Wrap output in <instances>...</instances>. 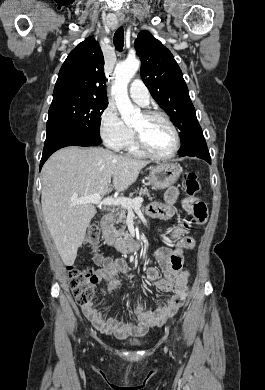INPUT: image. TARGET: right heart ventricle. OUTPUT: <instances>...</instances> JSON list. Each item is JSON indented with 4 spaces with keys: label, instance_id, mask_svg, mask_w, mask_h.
I'll use <instances>...</instances> for the list:
<instances>
[{
    "label": "right heart ventricle",
    "instance_id": "right-heart-ventricle-1",
    "mask_svg": "<svg viewBox=\"0 0 265 390\" xmlns=\"http://www.w3.org/2000/svg\"><path fill=\"white\" fill-rule=\"evenodd\" d=\"M123 148L127 151L128 154H130L132 156H135V157H142L143 156V153L139 150V148L136 144L133 132Z\"/></svg>",
    "mask_w": 265,
    "mask_h": 390
}]
</instances>
